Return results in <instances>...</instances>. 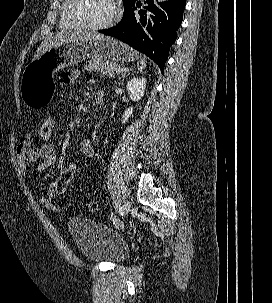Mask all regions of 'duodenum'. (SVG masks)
<instances>
[{
	"instance_id": "duodenum-1",
	"label": "duodenum",
	"mask_w": 272,
	"mask_h": 303,
	"mask_svg": "<svg viewBox=\"0 0 272 303\" xmlns=\"http://www.w3.org/2000/svg\"><path fill=\"white\" fill-rule=\"evenodd\" d=\"M104 93L102 91L96 92L94 96V105L95 107L99 108L104 104Z\"/></svg>"
}]
</instances>
